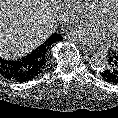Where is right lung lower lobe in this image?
Segmentation results:
<instances>
[{"label":"right lung lower lobe","mask_w":118,"mask_h":118,"mask_svg":"<svg viewBox=\"0 0 118 118\" xmlns=\"http://www.w3.org/2000/svg\"><path fill=\"white\" fill-rule=\"evenodd\" d=\"M58 40H62L60 35L54 34ZM40 61L31 54L26 57L16 60L7 61L0 59V75L4 78L15 82H26L37 76L43 69L38 64Z\"/></svg>","instance_id":"1"}]
</instances>
